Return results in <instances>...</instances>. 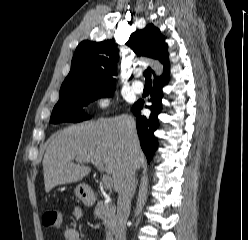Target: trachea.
<instances>
[{
  "instance_id": "trachea-1",
  "label": "trachea",
  "mask_w": 248,
  "mask_h": 240,
  "mask_svg": "<svg viewBox=\"0 0 248 240\" xmlns=\"http://www.w3.org/2000/svg\"><path fill=\"white\" fill-rule=\"evenodd\" d=\"M144 77H145V84H152L151 71L149 69L145 70Z\"/></svg>"
}]
</instances>
